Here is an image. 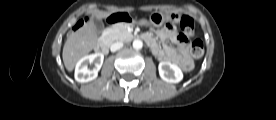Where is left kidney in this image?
I'll return each instance as SVG.
<instances>
[{"label":"left kidney","instance_id":"left-kidney-1","mask_svg":"<svg viewBox=\"0 0 276 120\" xmlns=\"http://www.w3.org/2000/svg\"><path fill=\"white\" fill-rule=\"evenodd\" d=\"M158 70L160 77L166 82L178 83L183 79V73L176 64L163 61L159 63Z\"/></svg>","mask_w":276,"mask_h":120}]
</instances>
